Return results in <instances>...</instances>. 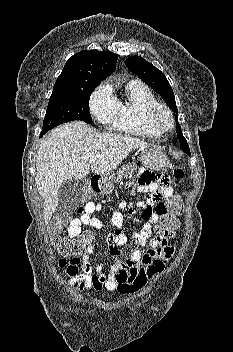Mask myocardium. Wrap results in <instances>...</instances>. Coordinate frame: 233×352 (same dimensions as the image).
Returning a JSON list of instances; mask_svg holds the SVG:
<instances>
[{"instance_id": "1", "label": "myocardium", "mask_w": 233, "mask_h": 352, "mask_svg": "<svg viewBox=\"0 0 233 352\" xmlns=\"http://www.w3.org/2000/svg\"><path fill=\"white\" fill-rule=\"evenodd\" d=\"M164 115L166 121L164 124L159 122V116ZM146 127L155 135L160 136L174 127V117L172 112L164 104L156 102L149 106L144 114Z\"/></svg>"}]
</instances>
